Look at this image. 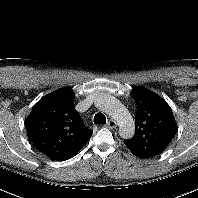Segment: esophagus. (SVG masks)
Wrapping results in <instances>:
<instances>
[{"label":"esophagus","instance_id":"esophagus-1","mask_svg":"<svg viewBox=\"0 0 198 198\" xmlns=\"http://www.w3.org/2000/svg\"><path fill=\"white\" fill-rule=\"evenodd\" d=\"M106 126H107L108 128H110V129H113V128H116V127H117V123H116V121H114L113 119H110V120L107 122Z\"/></svg>","mask_w":198,"mask_h":198}]
</instances>
